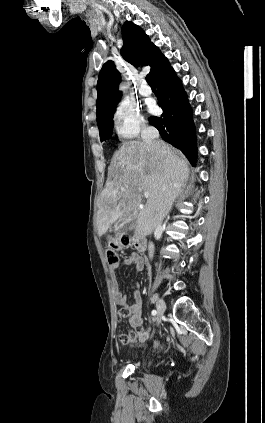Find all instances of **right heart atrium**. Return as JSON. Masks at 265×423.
<instances>
[{
  "label": "right heart atrium",
  "instance_id": "right-heart-atrium-1",
  "mask_svg": "<svg viewBox=\"0 0 265 423\" xmlns=\"http://www.w3.org/2000/svg\"><path fill=\"white\" fill-rule=\"evenodd\" d=\"M114 128L122 139H132L145 128L146 122L137 105L122 100L112 115Z\"/></svg>",
  "mask_w": 265,
  "mask_h": 423
}]
</instances>
